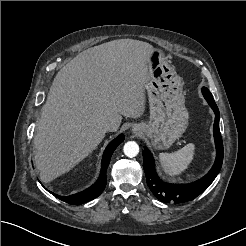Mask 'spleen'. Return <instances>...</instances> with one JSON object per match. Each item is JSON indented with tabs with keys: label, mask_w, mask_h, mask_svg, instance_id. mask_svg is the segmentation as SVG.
Listing matches in <instances>:
<instances>
[{
	"label": "spleen",
	"mask_w": 246,
	"mask_h": 246,
	"mask_svg": "<svg viewBox=\"0 0 246 246\" xmlns=\"http://www.w3.org/2000/svg\"><path fill=\"white\" fill-rule=\"evenodd\" d=\"M195 154V144L189 143L174 153H160L158 159L164 173L170 177H176L184 173Z\"/></svg>",
	"instance_id": "obj_1"
}]
</instances>
